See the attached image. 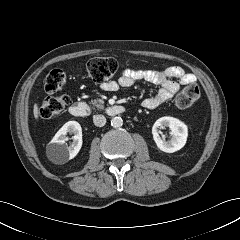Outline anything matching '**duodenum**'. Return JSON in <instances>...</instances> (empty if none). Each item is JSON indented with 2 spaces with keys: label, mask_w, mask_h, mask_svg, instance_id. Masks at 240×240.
Returning a JSON list of instances; mask_svg holds the SVG:
<instances>
[{
  "label": "duodenum",
  "mask_w": 240,
  "mask_h": 240,
  "mask_svg": "<svg viewBox=\"0 0 240 240\" xmlns=\"http://www.w3.org/2000/svg\"><path fill=\"white\" fill-rule=\"evenodd\" d=\"M125 107L122 105H110L104 108V112L110 116H117L125 112ZM71 115L83 118L91 113V109L85 102H74L69 109Z\"/></svg>",
  "instance_id": "410a0bca"
}]
</instances>
